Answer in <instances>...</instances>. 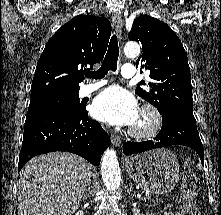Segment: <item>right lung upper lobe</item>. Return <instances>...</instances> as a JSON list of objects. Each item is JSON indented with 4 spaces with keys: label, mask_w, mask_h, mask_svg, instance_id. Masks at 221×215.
Returning a JSON list of instances; mask_svg holds the SVG:
<instances>
[{
    "label": "right lung upper lobe",
    "mask_w": 221,
    "mask_h": 215,
    "mask_svg": "<svg viewBox=\"0 0 221 215\" xmlns=\"http://www.w3.org/2000/svg\"><path fill=\"white\" fill-rule=\"evenodd\" d=\"M111 24L106 18L78 15L47 42L37 63L30 101L79 92L83 68L100 62L107 49Z\"/></svg>",
    "instance_id": "1"
}]
</instances>
